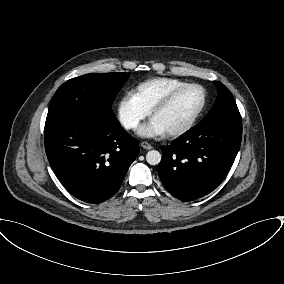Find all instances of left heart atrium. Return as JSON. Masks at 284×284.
I'll return each mask as SVG.
<instances>
[{
	"label": "left heart atrium",
	"instance_id": "1",
	"mask_svg": "<svg viewBox=\"0 0 284 284\" xmlns=\"http://www.w3.org/2000/svg\"><path fill=\"white\" fill-rule=\"evenodd\" d=\"M138 134L143 137H152L164 134V130L154 120H151L139 129Z\"/></svg>",
	"mask_w": 284,
	"mask_h": 284
}]
</instances>
